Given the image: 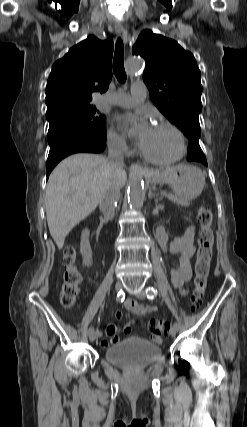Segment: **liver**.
Wrapping results in <instances>:
<instances>
[{
	"label": "liver",
	"instance_id": "1",
	"mask_svg": "<svg viewBox=\"0 0 247 427\" xmlns=\"http://www.w3.org/2000/svg\"><path fill=\"white\" fill-rule=\"evenodd\" d=\"M125 170L112 168L102 155L79 153L61 161L50 174L46 189V216L59 249L69 232L98 206L107 188H122Z\"/></svg>",
	"mask_w": 247,
	"mask_h": 427
}]
</instances>
